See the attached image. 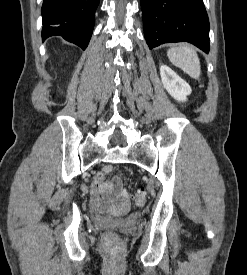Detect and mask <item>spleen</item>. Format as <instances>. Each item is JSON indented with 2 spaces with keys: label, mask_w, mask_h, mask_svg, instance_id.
I'll list each match as a JSON object with an SVG mask.
<instances>
[{
  "label": "spleen",
  "mask_w": 247,
  "mask_h": 275,
  "mask_svg": "<svg viewBox=\"0 0 247 275\" xmlns=\"http://www.w3.org/2000/svg\"><path fill=\"white\" fill-rule=\"evenodd\" d=\"M171 63L181 68L185 73L194 79L201 74L200 60L195 49L187 44L171 47L167 51Z\"/></svg>",
  "instance_id": "1"
}]
</instances>
